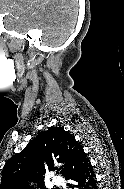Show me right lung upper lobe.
I'll return each mask as SVG.
<instances>
[{
  "mask_svg": "<svg viewBox=\"0 0 124 189\" xmlns=\"http://www.w3.org/2000/svg\"><path fill=\"white\" fill-rule=\"evenodd\" d=\"M89 162L83 147L62 127L39 133L25 149L4 165L1 189H27L29 182L42 180L45 168L58 169L66 178ZM59 164V168L54 167Z\"/></svg>",
  "mask_w": 124,
  "mask_h": 189,
  "instance_id": "right-lung-upper-lobe-1",
  "label": "right lung upper lobe"
}]
</instances>
